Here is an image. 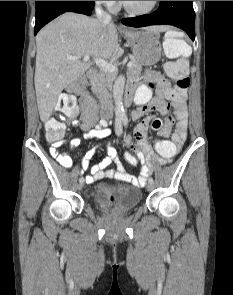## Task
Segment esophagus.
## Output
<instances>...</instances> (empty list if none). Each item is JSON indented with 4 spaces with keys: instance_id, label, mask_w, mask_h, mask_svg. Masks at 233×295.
Masks as SVG:
<instances>
[{
    "instance_id": "esophagus-1",
    "label": "esophagus",
    "mask_w": 233,
    "mask_h": 295,
    "mask_svg": "<svg viewBox=\"0 0 233 295\" xmlns=\"http://www.w3.org/2000/svg\"><path fill=\"white\" fill-rule=\"evenodd\" d=\"M119 30L120 31H128V29L125 26H123V25H120L119 26Z\"/></svg>"
}]
</instances>
